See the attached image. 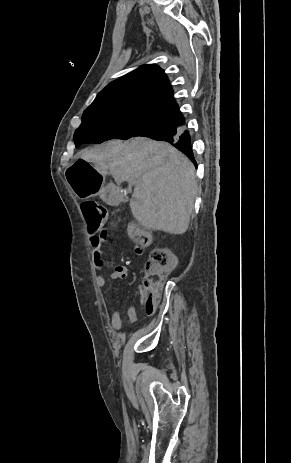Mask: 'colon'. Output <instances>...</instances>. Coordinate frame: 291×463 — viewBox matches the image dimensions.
<instances>
[{"label":"colon","instance_id":"1","mask_svg":"<svg viewBox=\"0 0 291 463\" xmlns=\"http://www.w3.org/2000/svg\"><path fill=\"white\" fill-rule=\"evenodd\" d=\"M81 209L91 232L105 230L109 215L107 210L93 200H86L82 203ZM128 235L138 244L149 245L150 236L148 232L131 224L127 228ZM176 265L175 255L164 248H154L148 257L145 267V276L141 291L145 297V309L147 314L155 311L158 295L167 275Z\"/></svg>","mask_w":291,"mask_h":463}]
</instances>
